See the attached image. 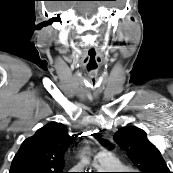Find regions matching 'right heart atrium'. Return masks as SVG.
<instances>
[{
    "mask_svg": "<svg viewBox=\"0 0 173 173\" xmlns=\"http://www.w3.org/2000/svg\"><path fill=\"white\" fill-rule=\"evenodd\" d=\"M72 169H73V172L72 173H81L80 170H79L80 169L79 166H75Z\"/></svg>",
    "mask_w": 173,
    "mask_h": 173,
    "instance_id": "right-heart-atrium-1",
    "label": "right heart atrium"
}]
</instances>
